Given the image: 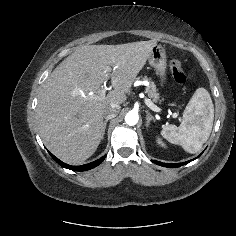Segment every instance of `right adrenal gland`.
Returning a JSON list of instances; mask_svg holds the SVG:
<instances>
[{
  "label": "right adrenal gland",
  "mask_w": 236,
  "mask_h": 236,
  "mask_svg": "<svg viewBox=\"0 0 236 236\" xmlns=\"http://www.w3.org/2000/svg\"><path fill=\"white\" fill-rule=\"evenodd\" d=\"M107 122H108V119H106L103 123V130H102V137H101L102 140H103L104 135H105V129H106Z\"/></svg>",
  "instance_id": "1"
}]
</instances>
